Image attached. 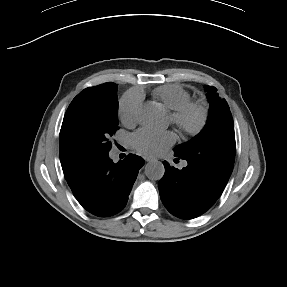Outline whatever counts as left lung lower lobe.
I'll list each match as a JSON object with an SVG mask.
<instances>
[{
    "label": "left lung lower lobe",
    "mask_w": 287,
    "mask_h": 287,
    "mask_svg": "<svg viewBox=\"0 0 287 287\" xmlns=\"http://www.w3.org/2000/svg\"><path fill=\"white\" fill-rule=\"evenodd\" d=\"M178 157V156H176ZM165 174L158 187L167 210L182 219H192L206 212L225 186L210 181V173L188 162L182 170L163 162Z\"/></svg>",
    "instance_id": "left-lung-lower-lobe-1"
}]
</instances>
